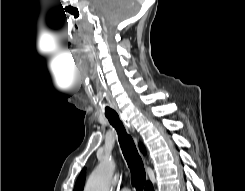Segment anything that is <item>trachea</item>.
I'll return each mask as SVG.
<instances>
[{"mask_svg":"<svg viewBox=\"0 0 245 191\" xmlns=\"http://www.w3.org/2000/svg\"><path fill=\"white\" fill-rule=\"evenodd\" d=\"M105 116L118 133L122 153L131 171L132 184L135 186L137 191H143L146 180V173L142 159L136 149L132 137L126 132L125 127L119 118V115L114 109L106 106Z\"/></svg>","mask_w":245,"mask_h":191,"instance_id":"1","label":"trachea"}]
</instances>
